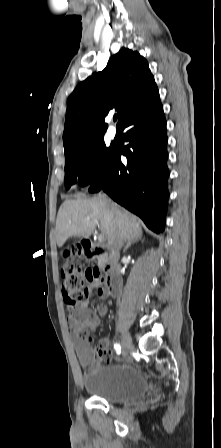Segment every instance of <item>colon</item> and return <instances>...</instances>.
I'll return each mask as SVG.
<instances>
[{"label":"colon","instance_id":"5ec220e1","mask_svg":"<svg viewBox=\"0 0 221 448\" xmlns=\"http://www.w3.org/2000/svg\"><path fill=\"white\" fill-rule=\"evenodd\" d=\"M79 255L78 249L68 248L62 252V292L65 302L70 306H76L84 299L87 284L102 279V273L97 267H83Z\"/></svg>","mask_w":221,"mask_h":448}]
</instances>
